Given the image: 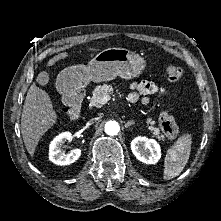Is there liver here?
I'll use <instances>...</instances> for the list:
<instances>
[{
  "instance_id": "liver-1",
  "label": "liver",
  "mask_w": 221,
  "mask_h": 221,
  "mask_svg": "<svg viewBox=\"0 0 221 221\" xmlns=\"http://www.w3.org/2000/svg\"><path fill=\"white\" fill-rule=\"evenodd\" d=\"M95 52L97 49L88 48ZM68 57L67 52L51 58L47 66H53L59 60ZM48 93L33 83L26 95L21 116V134L28 153L33 156L42 136L57 122V113Z\"/></svg>"
}]
</instances>
